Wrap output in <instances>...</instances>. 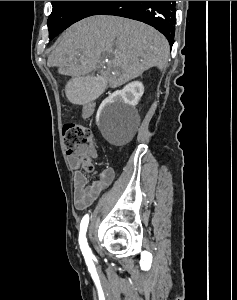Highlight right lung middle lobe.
<instances>
[{
	"instance_id": "dd1d6c3e",
	"label": "right lung middle lobe",
	"mask_w": 237,
	"mask_h": 300,
	"mask_svg": "<svg viewBox=\"0 0 237 300\" xmlns=\"http://www.w3.org/2000/svg\"><path fill=\"white\" fill-rule=\"evenodd\" d=\"M106 1H51L53 9L47 24L53 39L73 23L92 16Z\"/></svg>"
}]
</instances>
